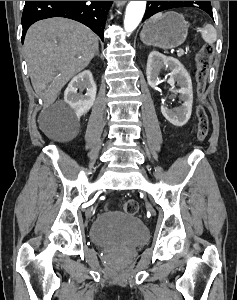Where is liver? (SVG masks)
<instances>
[{
    "label": "liver",
    "mask_w": 237,
    "mask_h": 300,
    "mask_svg": "<svg viewBox=\"0 0 237 300\" xmlns=\"http://www.w3.org/2000/svg\"><path fill=\"white\" fill-rule=\"evenodd\" d=\"M96 51L98 37L81 23L54 17L31 25L24 55L36 95L45 105H52L62 87L89 65Z\"/></svg>",
    "instance_id": "1"
}]
</instances>
